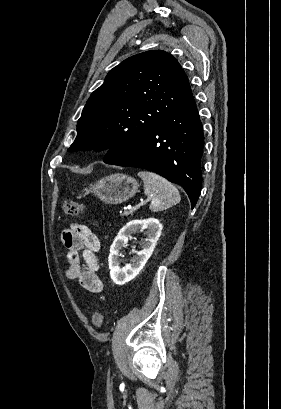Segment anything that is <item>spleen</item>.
I'll return each mask as SVG.
<instances>
[{
    "instance_id": "1",
    "label": "spleen",
    "mask_w": 281,
    "mask_h": 409,
    "mask_svg": "<svg viewBox=\"0 0 281 409\" xmlns=\"http://www.w3.org/2000/svg\"><path fill=\"white\" fill-rule=\"evenodd\" d=\"M138 176L144 182V192L151 198V211H166L173 205L180 202L181 196L179 190L173 186L172 182L148 170H140Z\"/></svg>"
}]
</instances>
